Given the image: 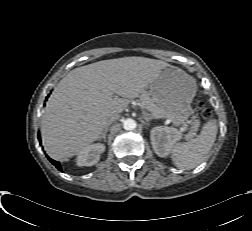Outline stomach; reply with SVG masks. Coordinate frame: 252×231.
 Wrapping results in <instances>:
<instances>
[{"label":"stomach","instance_id":"obj_1","mask_svg":"<svg viewBox=\"0 0 252 231\" xmlns=\"http://www.w3.org/2000/svg\"><path fill=\"white\" fill-rule=\"evenodd\" d=\"M197 92L196 80L184 71L167 66L150 84L149 93L160 110L159 118L179 126L193 113L191 103Z\"/></svg>","mask_w":252,"mask_h":231}]
</instances>
